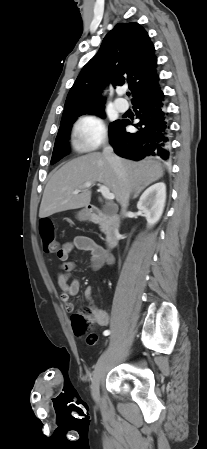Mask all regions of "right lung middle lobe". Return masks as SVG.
Returning a JSON list of instances; mask_svg holds the SVG:
<instances>
[{
  "label": "right lung middle lobe",
  "mask_w": 207,
  "mask_h": 449,
  "mask_svg": "<svg viewBox=\"0 0 207 449\" xmlns=\"http://www.w3.org/2000/svg\"><path fill=\"white\" fill-rule=\"evenodd\" d=\"M92 114L98 115L102 118L105 116L104 109L93 111ZM80 115H83V114H80ZM80 115L71 116V117L61 120L60 128H59L56 140H55L51 164L56 163L57 161H59L65 155L68 154V152H69L68 140H69L70 130H71L72 124L74 123L76 118ZM119 121L120 120H117L110 124L109 133L112 131V129L114 127H116V125L118 124Z\"/></svg>",
  "instance_id": "right-lung-middle-lobe-1"
}]
</instances>
